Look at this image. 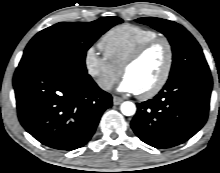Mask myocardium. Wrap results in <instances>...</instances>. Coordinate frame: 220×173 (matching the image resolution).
I'll return each instance as SVG.
<instances>
[{"label":"myocardium","instance_id":"myocardium-1","mask_svg":"<svg viewBox=\"0 0 220 173\" xmlns=\"http://www.w3.org/2000/svg\"><path fill=\"white\" fill-rule=\"evenodd\" d=\"M160 43L164 44L167 49V61L164 71L158 81L149 90L138 94L141 99H149L156 96L168 82L174 63V50L171 42L166 37L161 36L145 42L128 57L122 67V75L125 76V73L131 66L137 63L149 50Z\"/></svg>","mask_w":220,"mask_h":173}]
</instances>
